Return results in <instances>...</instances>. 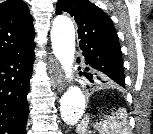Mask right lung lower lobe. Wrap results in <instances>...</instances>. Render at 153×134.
I'll list each match as a JSON object with an SVG mask.
<instances>
[{
  "instance_id": "right-lung-lower-lobe-1",
  "label": "right lung lower lobe",
  "mask_w": 153,
  "mask_h": 134,
  "mask_svg": "<svg viewBox=\"0 0 153 134\" xmlns=\"http://www.w3.org/2000/svg\"><path fill=\"white\" fill-rule=\"evenodd\" d=\"M34 48L0 60V134H26Z\"/></svg>"
}]
</instances>
